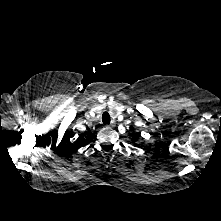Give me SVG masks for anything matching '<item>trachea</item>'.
Listing matches in <instances>:
<instances>
[{"label": "trachea", "instance_id": "1", "mask_svg": "<svg viewBox=\"0 0 221 221\" xmlns=\"http://www.w3.org/2000/svg\"><path fill=\"white\" fill-rule=\"evenodd\" d=\"M103 124H110V115L108 112H104L102 115Z\"/></svg>", "mask_w": 221, "mask_h": 221}]
</instances>
